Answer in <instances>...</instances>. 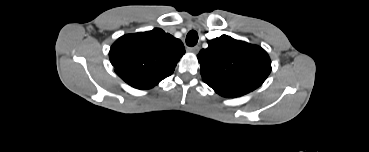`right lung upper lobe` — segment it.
Wrapping results in <instances>:
<instances>
[{
  "mask_svg": "<svg viewBox=\"0 0 369 152\" xmlns=\"http://www.w3.org/2000/svg\"><path fill=\"white\" fill-rule=\"evenodd\" d=\"M185 53L181 40L160 28L121 36L109 52L115 72L137 89H150L170 76Z\"/></svg>",
  "mask_w": 369,
  "mask_h": 152,
  "instance_id": "cb5924a9",
  "label": "right lung upper lobe"
}]
</instances>
